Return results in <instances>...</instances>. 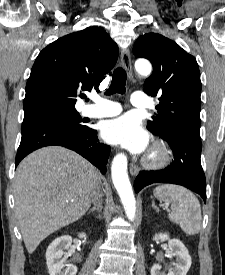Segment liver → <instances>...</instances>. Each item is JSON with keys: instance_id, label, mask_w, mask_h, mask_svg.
<instances>
[{"instance_id": "liver-1", "label": "liver", "mask_w": 225, "mask_h": 275, "mask_svg": "<svg viewBox=\"0 0 225 275\" xmlns=\"http://www.w3.org/2000/svg\"><path fill=\"white\" fill-rule=\"evenodd\" d=\"M97 180L91 163L60 146L38 149L21 161L14 179L15 211L29 254L87 212Z\"/></svg>"}]
</instances>
